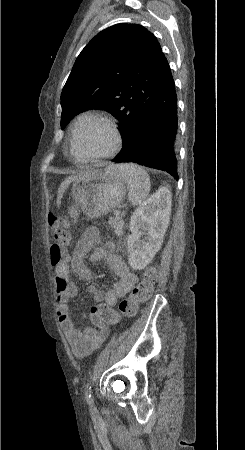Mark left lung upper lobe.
<instances>
[{
    "instance_id": "left-lung-upper-lobe-1",
    "label": "left lung upper lobe",
    "mask_w": 245,
    "mask_h": 450,
    "mask_svg": "<svg viewBox=\"0 0 245 450\" xmlns=\"http://www.w3.org/2000/svg\"><path fill=\"white\" fill-rule=\"evenodd\" d=\"M169 64L156 37L138 24H116L81 51L61 94V128L78 113L98 108L119 122L123 146L139 112Z\"/></svg>"
}]
</instances>
